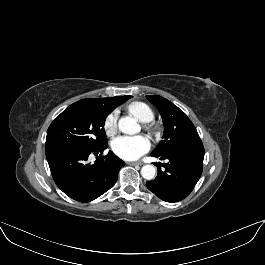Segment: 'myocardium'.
I'll use <instances>...</instances> for the list:
<instances>
[{
	"mask_svg": "<svg viewBox=\"0 0 265 265\" xmlns=\"http://www.w3.org/2000/svg\"><path fill=\"white\" fill-rule=\"evenodd\" d=\"M146 128L152 133L156 132V127L153 124H148Z\"/></svg>",
	"mask_w": 265,
	"mask_h": 265,
	"instance_id": "myocardium-1",
	"label": "myocardium"
}]
</instances>
